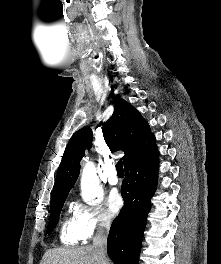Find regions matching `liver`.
<instances>
[{"label": "liver", "instance_id": "obj_1", "mask_svg": "<svg viewBox=\"0 0 221 264\" xmlns=\"http://www.w3.org/2000/svg\"><path fill=\"white\" fill-rule=\"evenodd\" d=\"M40 264H99L93 246L47 250ZM110 264V263H109Z\"/></svg>", "mask_w": 221, "mask_h": 264}]
</instances>
